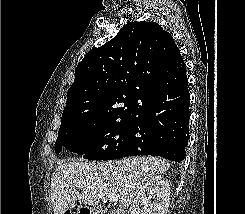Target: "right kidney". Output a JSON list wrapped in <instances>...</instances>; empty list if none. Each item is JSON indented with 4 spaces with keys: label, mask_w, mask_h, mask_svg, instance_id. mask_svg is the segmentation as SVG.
Returning <instances> with one entry per match:
<instances>
[{
    "label": "right kidney",
    "mask_w": 245,
    "mask_h": 214,
    "mask_svg": "<svg viewBox=\"0 0 245 214\" xmlns=\"http://www.w3.org/2000/svg\"><path fill=\"white\" fill-rule=\"evenodd\" d=\"M170 194L168 181L161 176H155L140 189L130 207L129 214H167ZM151 199L154 201L152 202Z\"/></svg>",
    "instance_id": "ca27d5eb"
}]
</instances>
